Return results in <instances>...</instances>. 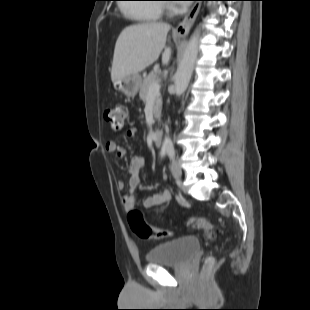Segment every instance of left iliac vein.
Returning <instances> with one entry per match:
<instances>
[{
    "mask_svg": "<svg viewBox=\"0 0 310 310\" xmlns=\"http://www.w3.org/2000/svg\"><path fill=\"white\" fill-rule=\"evenodd\" d=\"M171 172L175 180L179 181L182 177V170L180 165L176 160H173L171 163Z\"/></svg>",
    "mask_w": 310,
    "mask_h": 310,
    "instance_id": "1",
    "label": "left iliac vein"
}]
</instances>
